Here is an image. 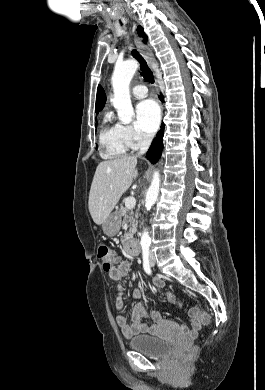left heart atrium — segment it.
<instances>
[{"label":"left heart atrium","mask_w":265,"mask_h":390,"mask_svg":"<svg viewBox=\"0 0 265 390\" xmlns=\"http://www.w3.org/2000/svg\"><path fill=\"white\" fill-rule=\"evenodd\" d=\"M160 110L158 105L150 99L143 100L136 106V125L146 134H152L158 128Z\"/></svg>","instance_id":"39dd6f15"}]
</instances>
